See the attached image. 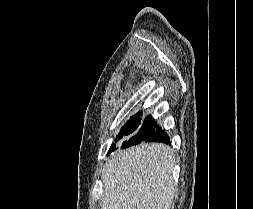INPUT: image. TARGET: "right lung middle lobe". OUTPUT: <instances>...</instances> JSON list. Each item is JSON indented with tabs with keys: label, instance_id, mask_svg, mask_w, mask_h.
<instances>
[{
	"label": "right lung middle lobe",
	"instance_id": "1",
	"mask_svg": "<svg viewBox=\"0 0 253 209\" xmlns=\"http://www.w3.org/2000/svg\"><path fill=\"white\" fill-rule=\"evenodd\" d=\"M141 114L131 117L129 121L121 128L119 134L117 135L115 142L119 141L121 148H128L133 145L140 144L143 141V134L151 132L156 127V122L152 120L151 116H147L142 123V119L139 117ZM116 144L113 143L107 153V156L115 151Z\"/></svg>",
	"mask_w": 253,
	"mask_h": 209
}]
</instances>
